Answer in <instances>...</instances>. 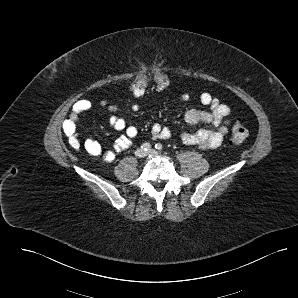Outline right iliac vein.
Here are the masks:
<instances>
[{"mask_svg": "<svg viewBox=\"0 0 298 298\" xmlns=\"http://www.w3.org/2000/svg\"><path fill=\"white\" fill-rule=\"evenodd\" d=\"M135 155L138 158H143L146 155V153L142 148H139V149L136 150Z\"/></svg>", "mask_w": 298, "mask_h": 298, "instance_id": "obj_1", "label": "right iliac vein"}]
</instances>
